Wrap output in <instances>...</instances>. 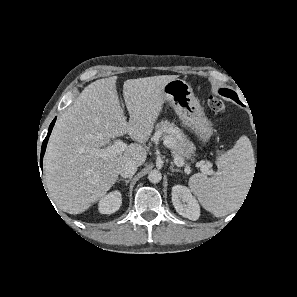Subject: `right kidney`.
Wrapping results in <instances>:
<instances>
[{
  "instance_id": "obj_1",
  "label": "right kidney",
  "mask_w": 297,
  "mask_h": 297,
  "mask_svg": "<svg viewBox=\"0 0 297 297\" xmlns=\"http://www.w3.org/2000/svg\"><path fill=\"white\" fill-rule=\"evenodd\" d=\"M121 204V192L114 190L101 198L98 204V210L101 214H112L120 208Z\"/></svg>"
}]
</instances>
